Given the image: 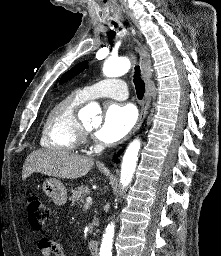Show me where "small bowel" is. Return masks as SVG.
I'll use <instances>...</instances> for the list:
<instances>
[{
    "label": "small bowel",
    "instance_id": "obj_1",
    "mask_svg": "<svg viewBox=\"0 0 221 256\" xmlns=\"http://www.w3.org/2000/svg\"><path fill=\"white\" fill-rule=\"evenodd\" d=\"M38 248L42 256H67L63 246L48 237H41L39 239Z\"/></svg>",
    "mask_w": 221,
    "mask_h": 256
}]
</instances>
